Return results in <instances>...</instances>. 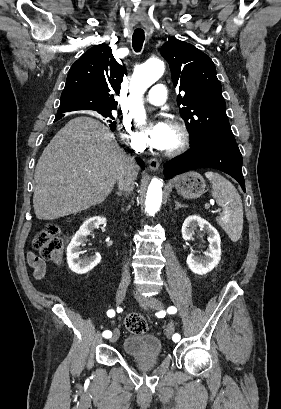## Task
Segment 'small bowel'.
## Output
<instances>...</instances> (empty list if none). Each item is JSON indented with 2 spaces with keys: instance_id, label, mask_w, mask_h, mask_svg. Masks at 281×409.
Masks as SVG:
<instances>
[{
  "instance_id": "small-bowel-1",
  "label": "small bowel",
  "mask_w": 281,
  "mask_h": 409,
  "mask_svg": "<svg viewBox=\"0 0 281 409\" xmlns=\"http://www.w3.org/2000/svg\"><path fill=\"white\" fill-rule=\"evenodd\" d=\"M25 257L28 258V262H29V258H32V262L31 263L29 262V264L33 268V271H34L33 280L35 282H40L42 280V274L44 276L45 271H46V265H45L44 260L36 256L35 254H33L32 251H26Z\"/></svg>"
}]
</instances>
